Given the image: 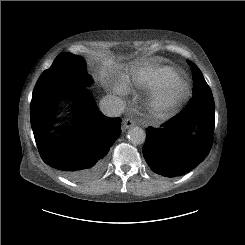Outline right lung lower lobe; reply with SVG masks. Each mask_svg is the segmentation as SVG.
I'll list each match as a JSON object with an SVG mask.
<instances>
[{
    "label": "right lung lower lobe",
    "mask_w": 245,
    "mask_h": 245,
    "mask_svg": "<svg viewBox=\"0 0 245 245\" xmlns=\"http://www.w3.org/2000/svg\"><path fill=\"white\" fill-rule=\"evenodd\" d=\"M65 97L75 101V118L67 129L52 136L55 106ZM30 109L37 148L46 164L77 182L92 180L103 172L108 151L121 133V119L104 116L88 90L81 87L50 94L31 103Z\"/></svg>",
    "instance_id": "obj_1"
}]
</instances>
